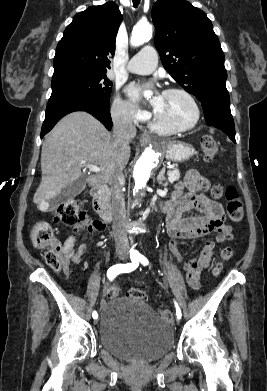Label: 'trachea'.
I'll return each mask as SVG.
<instances>
[{"mask_svg":"<svg viewBox=\"0 0 267 391\" xmlns=\"http://www.w3.org/2000/svg\"><path fill=\"white\" fill-rule=\"evenodd\" d=\"M132 2L135 8L140 4V0H132Z\"/></svg>","mask_w":267,"mask_h":391,"instance_id":"trachea-1","label":"trachea"}]
</instances>
